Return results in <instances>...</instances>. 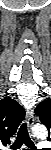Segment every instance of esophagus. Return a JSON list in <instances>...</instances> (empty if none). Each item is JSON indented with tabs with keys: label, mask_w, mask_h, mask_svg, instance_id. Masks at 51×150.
I'll return each instance as SVG.
<instances>
[{
	"label": "esophagus",
	"mask_w": 51,
	"mask_h": 150,
	"mask_svg": "<svg viewBox=\"0 0 51 150\" xmlns=\"http://www.w3.org/2000/svg\"><path fill=\"white\" fill-rule=\"evenodd\" d=\"M26 120H27L28 129L29 131H31V128L34 124V114L31 110L27 111Z\"/></svg>",
	"instance_id": "obj_1"
}]
</instances>
